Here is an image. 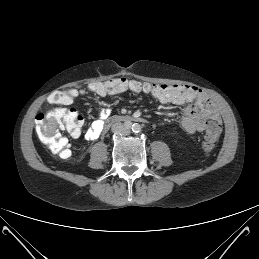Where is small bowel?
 <instances>
[{"label": "small bowel", "mask_w": 259, "mask_h": 259, "mask_svg": "<svg viewBox=\"0 0 259 259\" xmlns=\"http://www.w3.org/2000/svg\"><path fill=\"white\" fill-rule=\"evenodd\" d=\"M199 91L200 96L195 101H186L184 103H171L176 105L188 104L181 119V125L183 129L189 134H194L206 130L210 123H216L220 127V117L217 113L216 108L210 104L204 92H202L200 89ZM108 115L109 110L106 108H101L98 111L97 119L94 120L90 127L85 131L84 135L86 139L95 140L101 135L104 130V120L108 117ZM79 135H77L76 137H78ZM70 154L71 153H69V156Z\"/></svg>", "instance_id": "small-bowel-1"}]
</instances>
